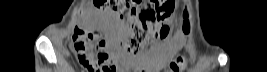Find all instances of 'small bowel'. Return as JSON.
Returning <instances> with one entry per match:
<instances>
[{"label": "small bowel", "mask_w": 267, "mask_h": 72, "mask_svg": "<svg viewBox=\"0 0 267 72\" xmlns=\"http://www.w3.org/2000/svg\"><path fill=\"white\" fill-rule=\"evenodd\" d=\"M174 19L171 17L165 21L167 25H171ZM106 23L112 25V18H107ZM86 32L90 28L84 29ZM93 43H98L96 39L92 40ZM120 41H118L119 43ZM72 50L74 51L80 64L88 71L93 72L90 67L82 63L79 54L76 52L75 44L71 43ZM180 48V41L166 40L164 44H153L149 49L141 51L136 54L127 55L122 51H117V58L126 62L133 69L145 72H159L167 65L172 63L175 53ZM115 59V58H114Z\"/></svg>", "instance_id": "obj_1"}]
</instances>
